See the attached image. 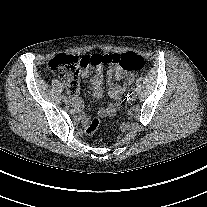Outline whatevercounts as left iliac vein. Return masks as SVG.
<instances>
[{
    "label": "left iliac vein",
    "mask_w": 207,
    "mask_h": 207,
    "mask_svg": "<svg viewBox=\"0 0 207 207\" xmlns=\"http://www.w3.org/2000/svg\"><path fill=\"white\" fill-rule=\"evenodd\" d=\"M136 96H137L136 94H134V95H131V94H130V95L128 96L129 101H130V102H133L134 99H136Z\"/></svg>",
    "instance_id": "obj_1"
}]
</instances>
